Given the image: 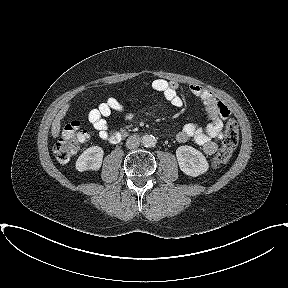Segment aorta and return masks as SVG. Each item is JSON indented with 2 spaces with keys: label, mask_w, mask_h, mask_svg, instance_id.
<instances>
[{
  "label": "aorta",
  "mask_w": 288,
  "mask_h": 288,
  "mask_svg": "<svg viewBox=\"0 0 288 288\" xmlns=\"http://www.w3.org/2000/svg\"><path fill=\"white\" fill-rule=\"evenodd\" d=\"M141 142L145 147H154L157 143V140L152 135H144L141 138Z\"/></svg>",
  "instance_id": "obj_1"
}]
</instances>
